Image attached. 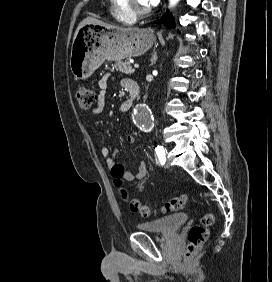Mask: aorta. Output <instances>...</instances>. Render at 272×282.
Wrapping results in <instances>:
<instances>
[{"instance_id": "aorta-1", "label": "aorta", "mask_w": 272, "mask_h": 282, "mask_svg": "<svg viewBox=\"0 0 272 282\" xmlns=\"http://www.w3.org/2000/svg\"><path fill=\"white\" fill-rule=\"evenodd\" d=\"M179 0H169L170 6H175ZM135 125L142 131L147 130L151 121V110L146 104H138L132 112Z\"/></svg>"}]
</instances>
